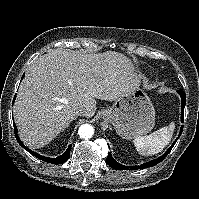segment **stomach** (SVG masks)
I'll list each match as a JSON object with an SVG mask.
<instances>
[{
	"label": "stomach",
	"instance_id": "stomach-1",
	"mask_svg": "<svg viewBox=\"0 0 199 199\" xmlns=\"http://www.w3.org/2000/svg\"><path fill=\"white\" fill-rule=\"evenodd\" d=\"M117 134L124 139H134L151 131L155 125V110L147 92L142 88L118 97L111 108L103 112Z\"/></svg>",
	"mask_w": 199,
	"mask_h": 199
}]
</instances>
